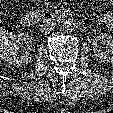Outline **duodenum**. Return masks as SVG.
I'll return each mask as SVG.
<instances>
[{
	"label": "duodenum",
	"mask_w": 113,
	"mask_h": 113,
	"mask_svg": "<svg viewBox=\"0 0 113 113\" xmlns=\"http://www.w3.org/2000/svg\"><path fill=\"white\" fill-rule=\"evenodd\" d=\"M70 11L59 9L51 12H30L22 17V24L25 27H31L39 21H61L70 17Z\"/></svg>",
	"instance_id": "410a0bca"
}]
</instances>
